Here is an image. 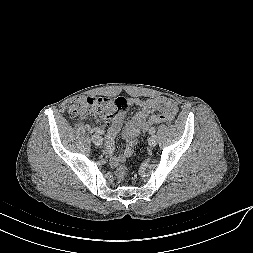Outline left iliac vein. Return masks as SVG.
Returning a JSON list of instances; mask_svg holds the SVG:
<instances>
[{"mask_svg": "<svg viewBox=\"0 0 253 253\" xmlns=\"http://www.w3.org/2000/svg\"><path fill=\"white\" fill-rule=\"evenodd\" d=\"M148 144L150 147H154L157 144V137L155 135L150 136L148 140Z\"/></svg>", "mask_w": 253, "mask_h": 253, "instance_id": "4c4485c4", "label": "left iliac vein"}]
</instances>
